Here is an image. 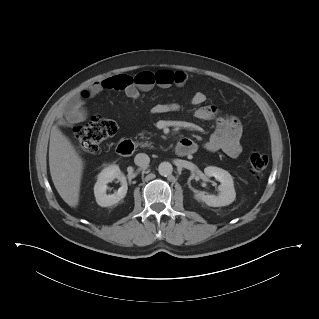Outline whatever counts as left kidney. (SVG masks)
I'll use <instances>...</instances> for the list:
<instances>
[{
  "instance_id": "left-kidney-1",
  "label": "left kidney",
  "mask_w": 319,
  "mask_h": 319,
  "mask_svg": "<svg viewBox=\"0 0 319 319\" xmlns=\"http://www.w3.org/2000/svg\"><path fill=\"white\" fill-rule=\"evenodd\" d=\"M204 173L208 177H215L221 183L218 187L220 194L215 196L196 190L194 191L195 199L205 202L208 206L212 207L231 204L236 198L232 176L226 170L215 166L206 167Z\"/></svg>"
}]
</instances>
